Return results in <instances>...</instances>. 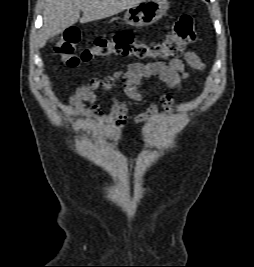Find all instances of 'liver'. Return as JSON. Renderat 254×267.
<instances>
[{
	"label": "liver",
	"instance_id": "liver-1",
	"mask_svg": "<svg viewBox=\"0 0 254 267\" xmlns=\"http://www.w3.org/2000/svg\"><path fill=\"white\" fill-rule=\"evenodd\" d=\"M143 0H46L43 13V26L39 35V47L46 41L79 19L87 23L116 15ZM80 11L83 17L80 18Z\"/></svg>",
	"mask_w": 254,
	"mask_h": 267
}]
</instances>
